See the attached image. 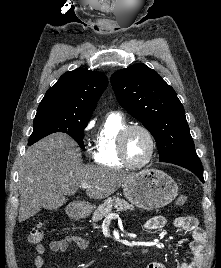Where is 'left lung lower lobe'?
I'll list each match as a JSON object with an SVG mask.
<instances>
[{
  "mask_svg": "<svg viewBox=\"0 0 221 268\" xmlns=\"http://www.w3.org/2000/svg\"><path fill=\"white\" fill-rule=\"evenodd\" d=\"M169 163L187 168L188 170L192 171L202 182H204L202 164L196 153L178 157L169 161Z\"/></svg>",
  "mask_w": 221,
  "mask_h": 268,
  "instance_id": "1",
  "label": "left lung lower lobe"
}]
</instances>
